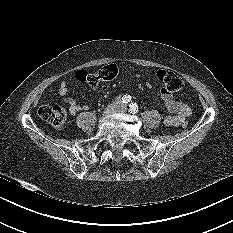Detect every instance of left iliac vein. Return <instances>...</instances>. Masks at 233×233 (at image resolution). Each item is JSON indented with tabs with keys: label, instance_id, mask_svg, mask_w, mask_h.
Segmentation results:
<instances>
[{
	"label": "left iliac vein",
	"instance_id": "1",
	"mask_svg": "<svg viewBox=\"0 0 233 233\" xmlns=\"http://www.w3.org/2000/svg\"><path fill=\"white\" fill-rule=\"evenodd\" d=\"M126 111V107L125 106H122L121 108H120V110H119V112H121V113H124Z\"/></svg>",
	"mask_w": 233,
	"mask_h": 233
}]
</instances>
